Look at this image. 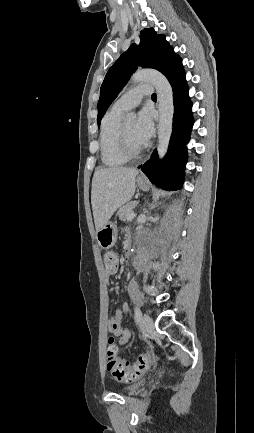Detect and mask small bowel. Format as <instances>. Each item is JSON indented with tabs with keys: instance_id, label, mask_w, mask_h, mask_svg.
<instances>
[{
	"instance_id": "c3829d8e",
	"label": "small bowel",
	"mask_w": 254,
	"mask_h": 433,
	"mask_svg": "<svg viewBox=\"0 0 254 433\" xmlns=\"http://www.w3.org/2000/svg\"><path fill=\"white\" fill-rule=\"evenodd\" d=\"M111 275V274H109ZM109 275L106 276V281L108 282ZM129 306L127 304H123V306L116 312V314L107 319L105 322V328L109 333L114 336L119 337V344L124 345L129 342L132 336V332L130 329L122 326V319L128 315Z\"/></svg>"
}]
</instances>
